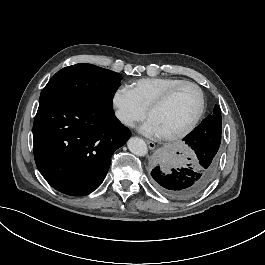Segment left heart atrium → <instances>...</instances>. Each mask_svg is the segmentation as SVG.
Returning a JSON list of instances; mask_svg holds the SVG:
<instances>
[{
    "label": "left heart atrium",
    "instance_id": "39dd6f15",
    "mask_svg": "<svg viewBox=\"0 0 265 265\" xmlns=\"http://www.w3.org/2000/svg\"><path fill=\"white\" fill-rule=\"evenodd\" d=\"M140 131L148 136L154 137V138H161L162 134L160 133L156 123L148 119L141 127Z\"/></svg>",
    "mask_w": 265,
    "mask_h": 265
}]
</instances>
